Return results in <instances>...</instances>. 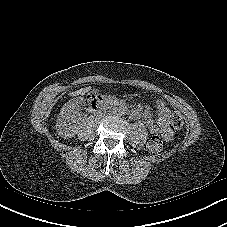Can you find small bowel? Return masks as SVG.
Here are the masks:
<instances>
[{
	"mask_svg": "<svg viewBox=\"0 0 227 227\" xmlns=\"http://www.w3.org/2000/svg\"><path fill=\"white\" fill-rule=\"evenodd\" d=\"M154 104L158 114L156 121L152 118L148 110H144L143 112L135 110L138 112V117L135 119L142 118L152 134L161 135L166 141H169L173 136L170 127L171 110L161 99L155 100Z\"/></svg>",
	"mask_w": 227,
	"mask_h": 227,
	"instance_id": "small-bowel-1",
	"label": "small bowel"
}]
</instances>
